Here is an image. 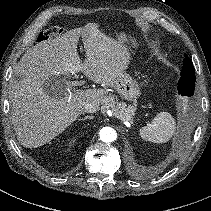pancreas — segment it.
<instances>
[{
  "label": "pancreas",
  "instance_id": "obj_1",
  "mask_svg": "<svg viewBox=\"0 0 211 211\" xmlns=\"http://www.w3.org/2000/svg\"><path fill=\"white\" fill-rule=\"evenodd\" d=\"M105 108L111 109L113 116L121 121L132 122V117L136 111L134 106H127L126 103L120 102L117 97L109 94L104 99Z\"/></svg>",
  "mask_w": 211,
  "mask_h": 211
}]
</instances>
